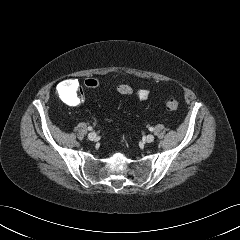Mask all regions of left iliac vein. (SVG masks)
Masks as SVG:
<instances>
[{"label": "left iliac vein", "mask_w": 240, "mask_h": 240, "mask_svg": "<svg viewBox=\"0 0 240 240\" xmlns=\"http://www.w3.org/2000/svg\"><path fill=\"white\" fill-rule=\"evenodd\" d=\"M154 139H155L154 136L151 135V134H149V135H147V136L144 137V140H145L147 143L153 142Z\"/></svg>", "instance_id": "obj_1"}]
</instances>
